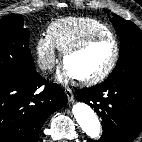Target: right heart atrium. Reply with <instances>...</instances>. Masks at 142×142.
<instances>
[{
    "label": "right heart atrium",
    "instance_id": "right-heart-atrium-1",
    "mask_svg": "<svg viewBox=\"0 0 142 142\" xmlns=\"http://www.w3.org/2000/svg\"><path fill=\"white\" fill-rule=\"evenodd\" d=\"M35 53L37 62L42 70H50L56 64V48L47 35L37 38L35 42Z\"/></svg>",
    "mask_w": 142,
    "mask_h": 142
}]
</instances>
